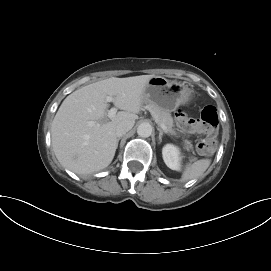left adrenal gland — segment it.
<instances>
[{"instance_id":"left-adrenal-gland-1","label":"left adrenal gland","mask_w":271,"mask_h":271,"mask_svg":"<svg viewBox=\"0 0 271 271\" xmlns=\"http://www.w3.org/2000/svg\"><path fill=\"white\" fill-rule=\"evenodd\" d=\"M157 130L159 131V144L162 142V136H163V131L159 128H157Z\"/></svg>"}]
</instances>
